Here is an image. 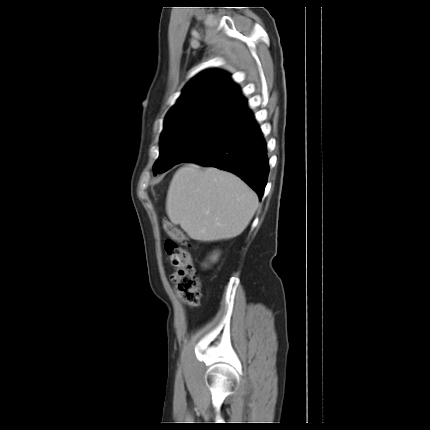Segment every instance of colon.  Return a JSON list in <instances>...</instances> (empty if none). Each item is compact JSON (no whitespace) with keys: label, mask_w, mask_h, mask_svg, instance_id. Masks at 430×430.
Returning a JSON list of instances; mask_svg holds the SVG:
<instances>
[{"label":"colon","mask_w":430,"mask_h":430,"mask_svg":"<svg viewBox=\"0 0 430 430\" xmlns=\"http://www.w3.org/2000/svg\"><path fill=\"white\" fill-rule=\"evenodd\" d=\"M164 231L169 236L164 247L170 263L175 267L171 281L184 302L197 306L201 297V283L196 275L192 256L187 249L188 237L170 222L163 224Z\"/></svg>","instance_id":"5ec220e1"}]
</instances>
